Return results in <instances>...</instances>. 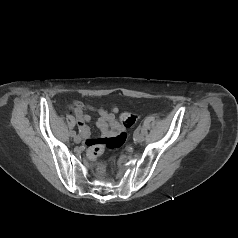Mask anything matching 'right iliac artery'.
<instances>
[{
	"mask_svg": "<svg viewBox=\"0 0 238 238\" xmlns=\"http://www.w3.org/2000/svg\"><path fill=\"white\" fill-rule=\"evenodd\" d=\"M71 136H72V137H75V136H76V132H75V131H72V132H71Z\"/></svg>",
	"mask_w": 238,
	"mask_h": 238,
	"instance_id": "82829eb1",
	"label": "right iliac artery"
}]
</instances>
